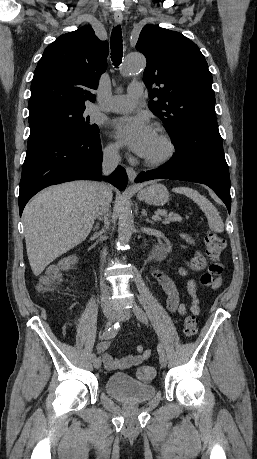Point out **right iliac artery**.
Here are the masks:
<instances>
[{
  "label": "right iliac artery",
  "mask_w": 257,
  "mask_h": 459,
  "mask_svg": "<svg viewBox=\"0 0 257 459\" xmlns=\"http://www.w3.org/2000/svg\"><path fill=\"white\" fill-rule=\"evenodd\" d=\"M120 329V322H116L113 326L109 327L108 329H106L103 334L100 336V338L103 340V339H112L114 338L118 331ZM92 357V360L96 359V355L93 353L91 355Z\"/></svg>",
  "instance_id": "82829eb1"
}]
</instances>
